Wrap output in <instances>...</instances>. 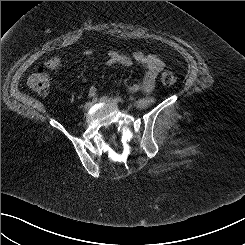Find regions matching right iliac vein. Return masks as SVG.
<instances>
[{"label": "right iliac vein", "mask_w": 245, "mask_h": 245, "mask_svg": "<svg viewBox=\"0 0 245 245\" xmlns=\"http://www.w3.org/2000/svg\"><path fill=\"white\" fill-rule=\"evenodd\" d=\"M93 103L92 102H86L84 105V110L88 111L92 107Z\"/></svg>", "instance_id": "63e3f726"}]
</instances>
